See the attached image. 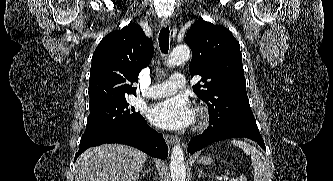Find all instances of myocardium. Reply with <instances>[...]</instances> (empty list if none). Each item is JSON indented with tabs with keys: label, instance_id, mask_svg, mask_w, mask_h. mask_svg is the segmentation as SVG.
Returning <instances> with one entry per match:
<instances>
[{
	"label": "myocardium",
	"instance_id": "myocardium-1",
	"mask_svg": "<svg viewBox=\"0 0 333 181\" xmlns=\"http://www.w3.org/2000/svg\"><path fill=\"white\" fill-rule=\"evenodd\" d=\"M208 119H209V114H208V110L206 107L204 106H200L197 108V121H196V129H201L204 126H206V124L208 123Z\"/></svg>",
	"mask_w": 333,
	"mask_h": 181
}]
</instances>
